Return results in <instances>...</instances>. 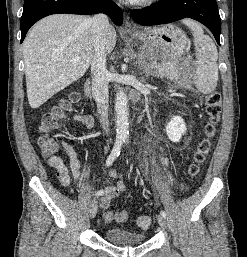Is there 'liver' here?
I'll use <instances>...</instances> for the list:
<instances>
[{"label":"liver","mask_w":247,"mask_h":257,"mask_svg":"<svg viewBox=\"0 0 247 257\" xmlns=\"http://www.w3.org/2000/svg\"><path fill=\"white\" fill-rule=\"evenodd\" d=\"M115 45L116 31L109 25L105 53H111ZM23 55L28 102L35 109L89 68L94 56L91 18L71 14L43 18L28 32Z\"/></svg>","instance_id":"obj_1"}]
</instances>
